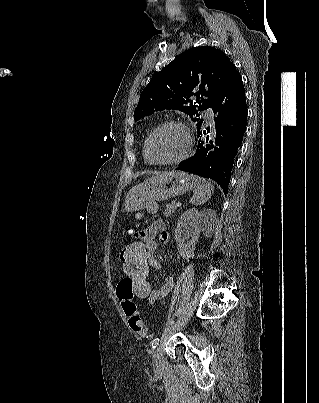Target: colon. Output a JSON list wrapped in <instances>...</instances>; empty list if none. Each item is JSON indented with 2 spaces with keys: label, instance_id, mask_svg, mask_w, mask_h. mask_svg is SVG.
Instances as JSON below:
<instances>
[{
  "label": "colon",
  "instance_id": "colon-1",
  "mask_svg": "<svg viewBox=\"0 0 319 403\" xmlns=\"http://www.w3.org/2000/svg\"><path fill=\"white\" fill-rule=\"evenodd\" d=\"M122 276L116 278V288L122 312L128 319L129 331L132 336L145 338L147 333L135 300H145L152 296L150 259L147 255L146 242L136 239L125 242L119 252ZM131 284L135 285V300L130 291Z\"/></svg>",
  "mask_w": 319,
  "mask_h": 403
}]
</instances>
